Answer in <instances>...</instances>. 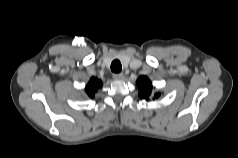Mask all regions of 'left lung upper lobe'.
I'll use <instances>...</instances> for the list:
<instances>
[{
	"label": "left lung upper lobe",
	"mask_w": 238,
	"mask_h": 158,
	"mask_svg": "<svg viewBox=\"0 0 238 158\" xmlns=\"http://www.w3.org/2000/svg\"><path fill=\"white\" fill-rule=\"evenodd\" d=\"M137 86L139 89L140 98L148 100V98L152 95L151 81L146 76L139 77L137 80ZM159 96H160V93L155 94L156 98Z\"/></svg>",
	"instance_id": "1"
}]
</instances>
